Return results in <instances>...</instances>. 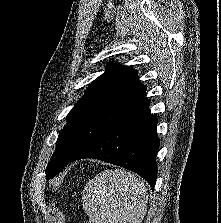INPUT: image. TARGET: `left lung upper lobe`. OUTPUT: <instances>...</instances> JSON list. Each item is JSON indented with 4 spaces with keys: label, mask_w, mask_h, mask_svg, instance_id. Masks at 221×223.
I'll return each mask as SVG.
<instances>
[{
    "label": "left lung upper lobe",
    "mask_w": 221,
    "mask_h": 223,
    "mask_svg": "<svg viewBox=\"0 0 221 223\" xmlns=\"http://www.w3.org/2000/svg\"><path fill=\"white\" fill-rule=\"evenodd\" d=\"M109 69L94 80L67 115L46 175L51 179L90 146L113 122L145 96L137 72L108 63Z\"/></svg>",
    "instance_id": "5c2ea615"
}]
</instances>
